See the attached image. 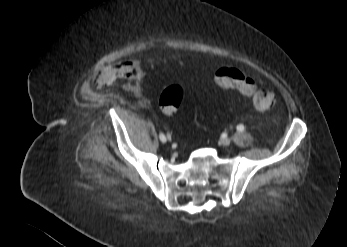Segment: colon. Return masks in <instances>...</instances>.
<instances>
[{
    "instance_id": "1",
    "label": "colon",
    "mask_w": 347,
    "mask_h": 247,
    "mask_svg": "<svg viewBox=\"0 0 347 247\" xmlns=\"http://www.w3.org/2000/svg\"><path fill=\"white\" fill-rule=\"evenodd\" d=\"M217 84L222 88L237 89L252 100L259 111H267L276 103V96L269 87H258L253 79L236 68H221L215 74ZM184 99V90L179 85L167 87L160 97V107L165 114L173 115Z\"/></svg>"
}]
</instances>
